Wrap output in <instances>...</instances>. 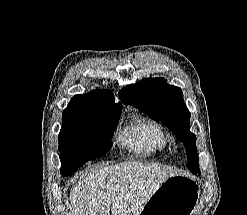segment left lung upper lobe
<instances>
[{"mask_svg": "<svg viewBox=\"0 0 247 215\" xmlns=\"http://www.w3.org/2000/svg\"><path fill=\"white\" fill-rule=\"evenodd\" d=\"M119 97L146 113L150 118L166 125L186 147L187 167L199 172L196 136L190 132L188 111L179 87L167 84L163 78H145L119 91Z\"/></svg>", "mask_w": 247, "mask_h": 215, "instance_id": "5c2ea615", "label": "left lung upper lobe"}]
</instances>
